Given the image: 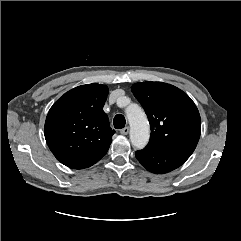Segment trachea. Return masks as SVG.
I'll use <instances>...</instances> for the list:
<instances>
[{"label":"trachea","mask_w":241,"mask_h":241,"mask_svg":"<svg viewBox=\"0 0 241 241\" xmlns=\"http://www.w3.org/2000/svg\"><path fill=\"white\" fill-rule=\"evenodd\" d=\"M113 124L116 129L124 128L126 124L125 117L121 114L116 115L114 117Z\"/></svg>","instance_id":"trachea-1"}]
</instances>
